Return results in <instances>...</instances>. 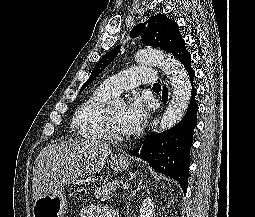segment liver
<instances>
[{"mask_svg":"<svg viewBox=\"0 0 255 217\" xmlns=\"http://www.w3.org/2000/svg\"><path fill=\"white\" fill-rule=\"evenodd\" d=\"M111 154L108 144L70 140L45 147L33 167L32 197L55 194L67 184L100 172Z\"/></svg>","mask_w":255,"mask_h":217,"instance_id":"liver-1","label":"liver"}]
</instances>
